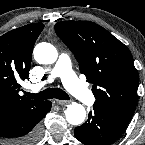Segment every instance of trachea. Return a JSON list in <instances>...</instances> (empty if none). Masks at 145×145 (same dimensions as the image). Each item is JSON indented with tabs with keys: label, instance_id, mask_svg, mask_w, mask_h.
I'll return each instance as SVG.
<instances>
[{
	"label": "trachea",
	"instance_id": "obj_1",
	"mask_svg": "<svg viewBox=\"0 0 145 145\" xmlns=\"http://www.w3.org/2000/svg\"><path fill=\"white\" fill-rule=\"evenodd\" d=\"M25 94L29 99H52V98H56L60 100L70 99L69 95L65 91L59 88H47L37 94H32L27 92Z\"/></svg>",
	"mask_w": 145,
	"mask_h": 145
}]
</instances>
